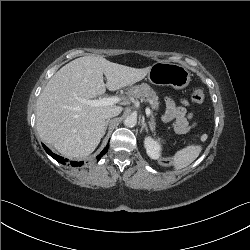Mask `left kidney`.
Wrapping results in <instances>:
<instances>
[{
	"instance_id": "1",
	"label": "left kidney",
	"mask_w": 250,
	"mask_h": 250,
	"mask_svg": "<svg viewBox=\"0 0 250 250\" xmlns=\"http://www.w3.org/2000/svg\"><path fill=\"white\" fill-rule=\"evenodd\" d=\"M144 145L150 158L159 159L161 155V145L158 141L154 140L152 137H146Z\"/></svg>"
}]
</instances>
